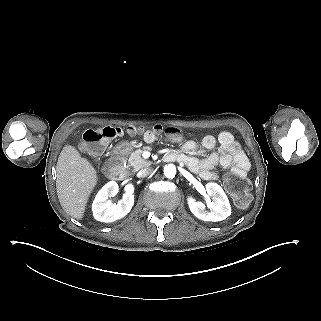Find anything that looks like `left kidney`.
<instances>
[{"instance_id":"1","label":"left kidney","mask_w":321,"mask_h":321,"mask_svg":"<svg viewBox=\"0 0 321 321\" xmlns=\"http://www.w3.org/2000/svg\"><path fill=\"white\" fill-rule=\"evenodd\" d=\"M206 191L209 196L213 197V201L209 203L210 212L205 210V204L196 202L194 198L188 197V205L191 212L203 221H222L231 215V206L227 195L220 185L217 183H207Z\"/></svg>"}]
</instances>
